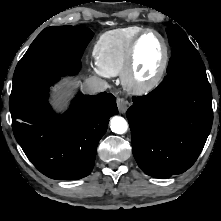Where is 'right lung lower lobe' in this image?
I'll return each mask as SVG.
<instances>
[{
    "mask_svg": "<svg viewBox=\"0 0 221 221\" xmlns=\"http://www.w3.org/2000/svg\"><path fill=\"white\" fill-rule=\"evenodd\" d=\"M72 69L62 72L75 74ZM49 88L25 104L10 110L14 136L28 159L52 179L77 180L93 169L97 145L112 115L118 113L114 95L103 92L78 94L70 109L55 115Z\"/></svg>",
    "mask_w": 221,
    "mask_h": 221,
    "instance_id": "1",
    "label": "right lung lower lobe"
}]
</instances>
